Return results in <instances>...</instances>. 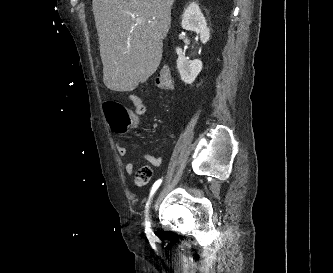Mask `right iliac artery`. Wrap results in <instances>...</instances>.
I'll list each match as a JSON object with an SVG mask.
<instances>
[{"label": "right iliac artery", "mask_w": 333, "mask_h": 273, "mask_svg": "<svg viewBox=\"0 0 333 273\" xmlns=\"http://www.w3.org/2000/svg\"><path fill=\"white\" fill-rule=\"evenodd\" d=\"M161 182H162V179H159V180H157V181L153 184L152 189H151V192H150L149 200H150V198L152 197V195L155 193V191L158 189V187L160 186ZM148 205H149V201H148L147 204H146V208H147V210H148ZM147 210H146V211H147ZM146 216H147V215H146ZM145 233H146V236H147V238H148L149 240H152V239L155 238V234H154L153 231L151 230V228H150V222L147 221V218H146V221H145Z\"/></svg>", "instance_id": "right-iliac-artery-1"}]
</instances>
